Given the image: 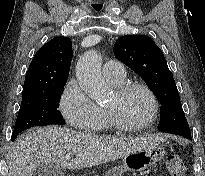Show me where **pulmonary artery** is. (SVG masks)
Masks as SVG:
<instances>
[{"label": "pulmonary artery", "mask_w": 205, "mask_h": 176, "mask_svg": "<svg viewBox=\"0 0 205 176\" xmlns=\"http://www.w3.org/2000/svg\"><path fill=\"white\" fill-rule=\"evenodd\" d=\"M103 75L107 80L120 82L126 78V70L122 62L110 60L103 65Z\"/></svg>", "instance_id": "obj_1"}]
</instances>
